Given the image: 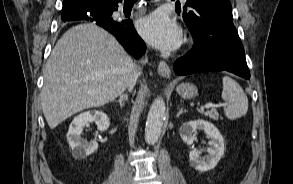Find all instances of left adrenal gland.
<instances>
[{"label":"left adrenal gland","mask_w":293,"mask_h":184,"mask_svg":"<svg viewBox=\"0 0 293 184\" xmlns=\"http://www.w3.org/2000/svg\"><path fill=\"white\" fill-rule=\"evenodd\" d=\"M185 112H186V110H183V107L182 106L179 107V111H178L176 117H179L182 113H185Z\"/></svg>","instance_id":"1"}]
</instances>
